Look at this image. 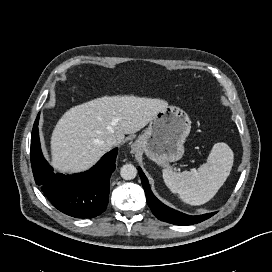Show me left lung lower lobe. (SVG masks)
I'll list each match as a JSON object with an SVG mask.
<instances>
[{
    "label": "left lung lower lobe",
    "instance_id": "0a47b994",
    "mask_svg": "<svg viewBox=\"0 0 272 272\" xmlns=\"http://www.w3.org/2000/svg\"><path fill=\"white\" fill-rule=\"evenodd\" d=\"M138 172L142 181V185L146 194L147 203L153 212V214L161 221L175 224V225H191L202 222L211 216L214 213L203 214L199 216H190L179 211H176L160 202L152 193L148 180L145 174L142 172L141 168H138Z\"/></svg>",
    "mask_w": 272,
    "mask_h": 272
}]
</instances>
